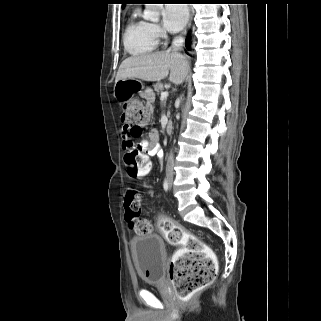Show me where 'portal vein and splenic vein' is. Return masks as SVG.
Masks as SVG:
<instances>
[{
  "label": "portal vein and splenic vein",
  "instance_id": "18ae733b",
  "mask_svg": "<svg viewBox=\"0 0 321 321\" xmlns=\"http://www.w3.org/2000/svg\"><path fill=\"white\" fill-rule=\"evenodd\" d=\"M168 95H169V94H168L167 91L162 92V93H161V96H160V99H161V100H164V99H166V98L168 97Z\"/></svg>",
  "mask_w": 321,
  "mask_h": 321
}]
</instances>
